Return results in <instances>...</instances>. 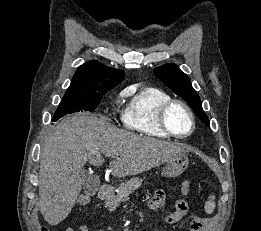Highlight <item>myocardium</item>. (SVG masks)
Returning <instances> with one entry per match:
<instances>
[{"mask_svg": "<svg viewBox=\"0 0 261 231\" xmlns=\"http://www.w3.org/2000/svg\"><path fill=\"white\" fill-rule=\"evenodd\" d=\"M175 105H179V106L183 107L187 111V113L190 117V120H191V128H190L189 132L186 134H183V135L173 132L168 124V120H167L168 112ZM159 125H160L161 129L169 136L178 138V139H184V138L189 137L195 130V126H196L195 115H194L191 107L186 102L179 100V99H171L168 102H166L164 105H162L159 110Z\"/></svg>", "mask_w": 261, "mask_h": 231, "instance_id": "myocardium-1", "label": "myocardium"}]
</instances>
